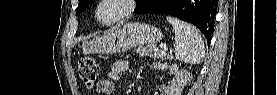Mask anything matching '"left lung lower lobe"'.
I'll list each match as a JSON object with an SVG mask.
<instances>
[{"label": "left lung lower lobe", "instance_id": "obj_1", "mask_svg": "<svg viewBox=\"0 0 277 95\" xmlns=\"http://www.w3.org/2000/svg\"><path fill=\"white\" fill-rule=\"evenodd\" d=\"M218 0H149L138 14L165 13L192 23L210 41Z\"/></svg>", "mask_w": 277, "mask_h": 95}]
</instances>
